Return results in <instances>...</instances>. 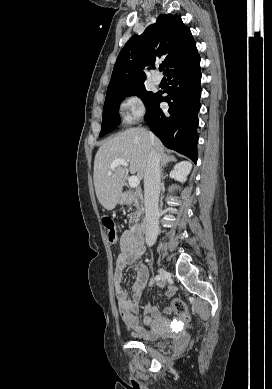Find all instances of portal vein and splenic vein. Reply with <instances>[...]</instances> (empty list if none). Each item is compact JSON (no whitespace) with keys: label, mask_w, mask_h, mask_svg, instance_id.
Returning <instances> with one entry per match:
<instances>
[{"label":"portal vein and splenic vein","mask_w":272,"mask_h":389,"mask_svg":"<svg viewBox=\"0 0 272 389\" xmlns=\"http://www.w3.org/2000/svg\"><path fill=\"white\" fill-rule=\"evenodd\" d=\"M117 166H124V167H127L128 166V161L124 160V159H115L111 165H110V169L111 170H114ZM109 175L112 174V172H108ZM128 182H129V185L131 188H137L139 186V178L137 176H131L129 177L128 179Z\"/></svg>","instance_id":"1"}]
</instances>
